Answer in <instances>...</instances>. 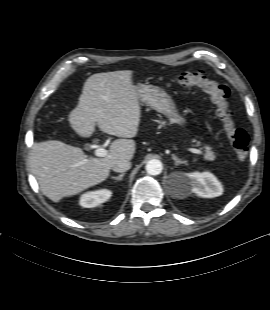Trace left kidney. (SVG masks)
<instances>
[{
	"label": "left kidney",
	"instance_id": "1",
	"mask_svg": "<svg viewBox=\"0 0 270 310\" xmlns=\"http://www.w3.org/2000/svg\"><path fill=\"white\" fill-rule=\"evenodd\" d=\"M178 195L185 196L193 192L203 198H214L223 194V187L210 172L185 173Z\"/></svg>",
	"mask_w": 270,
	"mask_h": 310
}]
</instances>
